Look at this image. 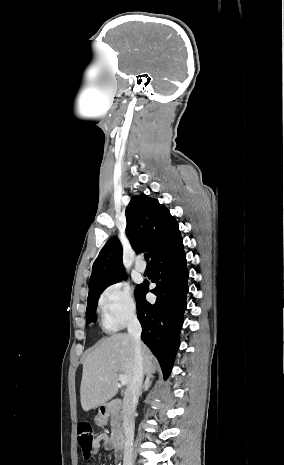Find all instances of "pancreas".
<instances>
[{"mask_svg":"<svg viewBox=\"0 0 284 465\" xmlns=\"http://www.w3.org/2000/svg\"><path fill=\"white\" fill-rule=\"evenodd\" d=\"M120 421H121V415L119 411H112L111 421H110L112 433H116V431L120 429Z\"/></svg>","mask_w":284,"mask_h":465,"instance_id":"obj_1","label":"pancreas"}]
</instances>
